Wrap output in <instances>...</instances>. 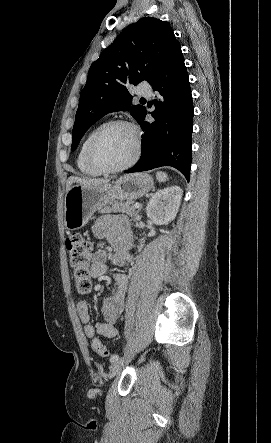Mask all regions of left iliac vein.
I'll return each instance as SVG.
<instances>
[{"instance_id":"obj_1","label":"left iliac vein","mask_w":271,"mask_h":443,"mask_svg":"<svg viewBox=\"0 0 271 443\" xmlns=\"http://www.w3.org/2000/svg\"><path fill=\"white\" fill-rule=\"evenodd\" d=\"M130 360H131L130 358L119 359V360L115 361L114 363H112L109 368L108 377L111 379L114 376H116L122 370L124 365L127 364L128 362H130Z\"/></svg>"}]
</instances>
